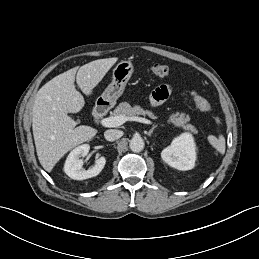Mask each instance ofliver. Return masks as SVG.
Segmentation results:
<instances>
[{"instance_id": "6515ba94", "label": "liver", "mask_w": 259, "mask_h": 259, "mask_svg": "<svg viewBox=\"0 0 259 259\" xmlns=\"http://www.w3.org/2000/svg\"><path fill=\"white\" fill-rule=\"evenodd\" d=\"M117 58L98 59L57 75L38 91L32 111L36 152L42 167L51 172L56 163L75 146L91 140L97 130L77 125L68 113H77L85 101L74 81L89 96Z\"/></svg>"}]
</instances>
